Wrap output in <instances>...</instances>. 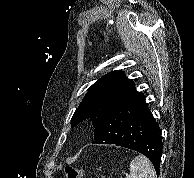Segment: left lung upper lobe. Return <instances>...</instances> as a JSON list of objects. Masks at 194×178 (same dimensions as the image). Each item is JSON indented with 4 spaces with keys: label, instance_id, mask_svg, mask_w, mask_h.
<instances>
[{
    "label": "left lung upper lobe",
    "instance_id": "obj_1",
    "mask_svg": "<svg viewBox=\"0 0 194 178\" xmlns=\"http://www.w3.org/2000/svg\"><path fill=\"white\" fill-rule=\"evenodd\" d=\"M136 93L139 92L133 81L126 78L122 71L107 73L88 89L71 119V127L86 119H90L96 127L121 101Z\"/></svg>",
    "mask_w": 194,
    "mask_h": 178
}]
</instances>
